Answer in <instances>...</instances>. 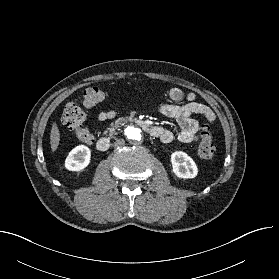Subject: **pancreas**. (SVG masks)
<instances>
[{
  "mask_svg": "<svg viewBox=\"0 0 279 279\" xmlns=\"http://www.w3.org/2000/svg\"><path fill=\"white\" fill-rule=\"evenodd\" d=\"M118 127H119V122L115 121L114 123H112L110 125V127L108 128V131L104 132V134H107V132H109V135L112 136V135L116 134V130L118 129Z\"/></svg>",
  "mask_w": 279,
  "mask_h": 279,
  "instance_id": "1",
  "label": "pancreas"
}]
</instances>
